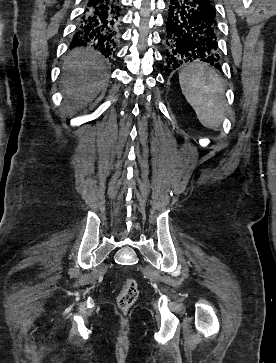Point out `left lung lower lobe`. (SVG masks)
<instances>
[{"label": "left lung lower lobe", "mask_w": 276, "mask_h": 363, "mask_svg": "<svg viewBox=\"0 0 276 363\" xmlns=\"http://www.w3.org/2000/svg\"><path fill=\"white\" fill-rule=\"evenodd\" d=\"M165 56L168 74L189 62L220 67L216 11L208 0H169Z\"/></svg>", "instance_id": "left-lung-lower-lobe-1"}]
</instances>
